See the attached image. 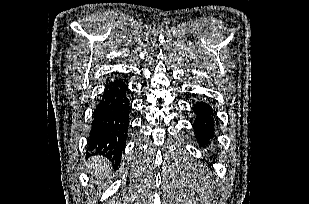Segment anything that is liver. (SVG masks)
<instances>
[{"label":"liver","mask_w":309,"mask_h":204,"mask_svg":"<svg viewBox=\"0 0 309 204\" xmlns=\"http://www.w3.org/2000/svg\"><path fill=\"white\" fill-rule=\"evenodd\" d=\"M87 166L88 171L94 174V177L97 178V184H99L101 182L100 180L104 179L111 170V164L109 161L106 158L99 156L92 158Z\"/></svg>","instance_id":"obj_1"}]
</instances>
